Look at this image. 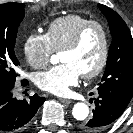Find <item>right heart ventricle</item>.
<instances>
[{"label":"right heart ventricle","instance_id":"obj_1","mask_svg":"<svg viewBox=\"0 0 133 133\" xmlns=\"http://www.w3.org/2000/svg\"><path fill=\"white\" fill-rule=\"evenodd\" d=\"M89 19L80 14H68L53 20L46 35L54 50H61Z\"/></svg>","mask_w":133,"mask_h":133}]
</instances>
